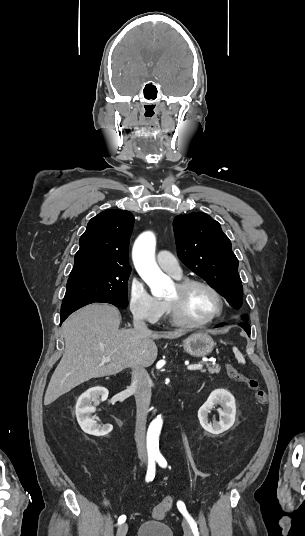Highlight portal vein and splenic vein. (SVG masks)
<instances>
[{
  "instance_id": "18ae733b",
  "label": "portal vein and splenic vein",
  "mask_w": 305,
  "mask_h": 536,
  "mask_svg": "<svg viewBox=\"0 0 305 536\" xmlns=\"http://www.w3.org/2000/svg\"><path fill=\"white\" fill-rule=\"evenodd\" d=\"M107 362H111V358H102L101 364L99 366H104ZM202 364H195V366H187V370H202Z\"/></svg>"
}]
</instances>
